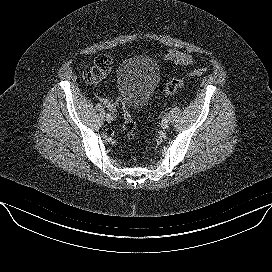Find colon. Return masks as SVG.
<instances>
[{
	"label": "colon",
	"mask_w": 272,
	"mask_h": 272,
	"mask_svg": "<svg viewBox=\"0 0 272 272\" xmlns=\"http://www.w3.org/2000/svg\"><path fill=\"white\" fill-rule=\"evenodd\" d=\"M113 58L110 55H100L96 58L94 64L88 68H86L83 72V79L90 84H96L104 79L113 68ZM208 71L207 68H197L190 71L187 74V77H195L200 76ZM185 84V78L181 79H172L167 83L165 88L163 89L164 95H170L176 92L178 89L182 88ZM123 132L126 138L129 141H134L137 135V128L135 122L133 121L128 109L125 105H123Z\"/></svg>",
	"instance_id": "colon-1"
}]
</instances>
